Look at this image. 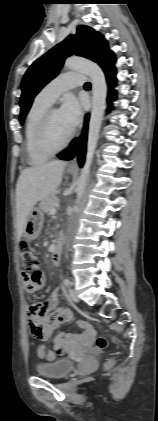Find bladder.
<instances>
[{
	"label": "bladder",
	"instance_id": "bladder-1",
	"mask_svg": "<svg viewBox=\"0 0 158 421\" xmlns=\"http://www.w3.org/2000/svg\"><path fill=\"white\" fill-rule=\"evenodd\" d=\"M74 369V362L70 359H60L51 363H41L36 366L39 376L53 379H61Z\"/></svg>",
	"mask_w": 158,
	"mask_h": 421
}]
</instances>
